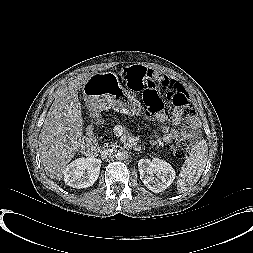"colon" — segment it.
<instances>
[{
  "label": "colon",
  "mask_w": 253,
  "mask_h": 253,
  "mask_svg": "<svg viewBox=\"0 0 253 253\" xmlns=\"http://www.w3.org/2000/svg\"><path fill=\"white\" fill-rule=\"evenodd\" d=\"M129 90L139 92L144 90L146 111L152 116L162 115L165 112L163 94L175 107L192 108L188 93L181 86H173L162 80L155 72L142 67H125L120 72ZM195 136L190 133L181 135L174 145V155L181 159L189 152L195 143Z\"/></svg>",
  "instance_id": "5ec220e1"
}]
</instances>
